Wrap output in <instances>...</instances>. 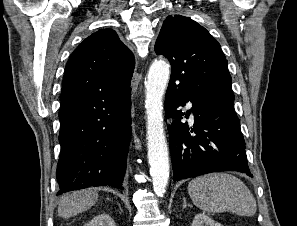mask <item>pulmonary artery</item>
<instances>
[{"mask_svg":"<svg viewBox=\"0 0 297 226\" xmlns=\"http://www.w3.org/2000/svg\"><path fill=\"white\" fill-rule=\"evenodd\" d=\"M188 107L191 108V104L190 103H188Z\"/></svg>","mask_w":297,"mask_h":226,"instance_id":"pulmonary-artery-1","label":"pulmonary artery"}]
</instances>
